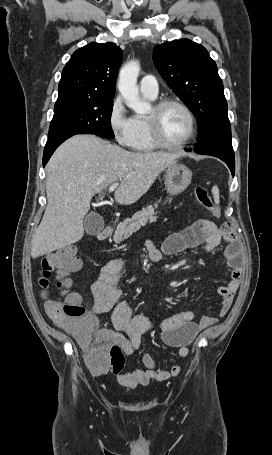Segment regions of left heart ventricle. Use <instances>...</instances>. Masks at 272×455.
Returning <instances> with one entry per match:
<instances>
[{
	"label": "left heart ventricle",
	"mask_w": 272,
	"mask_h": 455,
	"mask_svg": "<svg viewBox=\"0 0 272 455\" xmlns=\"http://www.w3.org/2000/svg\"><path fill=\"white\" fill-rule=\"evenodd\" d=\"M152 113L150 111L149 115ZM162 138L170 144L181 142L188 134L189 121L186 114L177 106L166 107L159 116Z\"/></svg>",
	"instance_id": "left-heart-ventricle-1"
}]
</instances>
